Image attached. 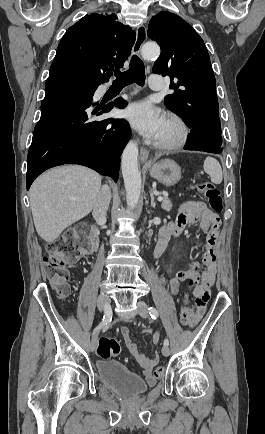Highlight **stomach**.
Returning a JSON list of instances; mask_svg holds the SVG:
<instances>
[{"label":"stomach","mask_w":265,"mask_h":434,"mask_svg":"<svg viewBox=\"0 0 265 434\" xmlns=\"http://www.w3.org/2000/svg\"><path fill=\"white\" fill-rule=\"evenodd\" d=\"M149 174L164 186H174L181 178V168L174 160H161L150 166Z\"/></svg>","instance_id":"1"}]
</instances>
